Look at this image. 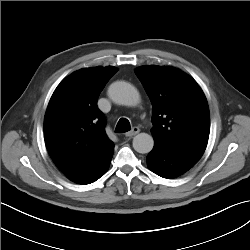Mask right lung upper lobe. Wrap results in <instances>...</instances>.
<instances>
[{
    "label": "right lung upper lobe",
    "instance_id": "right-lung-upper-lobe-1",
    "mask_svg": "<svg viewBox=\"0 0 250 250\" xmlns=\"http://www.w3.org/2000/svg\"><path fill=\"white\" fill-rule=\"evenodd\" d=\"M118 71L113 66L80 69L55 89L44 119L47 150L67 177L103 156L114 144L105 133L97 99Z\"/></svg>",
    "mask_w": 250,
    "mask_h": 250
}]
</instances>
